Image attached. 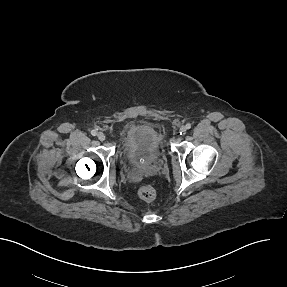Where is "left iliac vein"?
Listing matches in <instances>:
<instances>
[{"label": "left iliac vein", "mask_w": 287, "mask_h": 287, "mask_svg": "<svg viewBox=\"0 0 287 287\" xmlns=\"http://www.w3.org/2000/svg\"><path fill=\"white\" fill-rule=\"evenodd\" d=\"M186 130H187V129H186V126H181V127H180V132H181V133H185Z\"/></svg>", "instance_id": "left-iliac-vein-1"}]
</instances>
